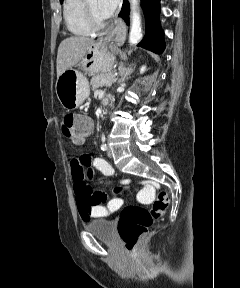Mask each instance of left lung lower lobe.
Instances as JSON below:
<instances>
[{"mask_svg":"<svg viewBox=\"0 0 240 288\" xmlns=\"http://www.w3.org/2000/svg\"><path fill=\"white\" fill-rule=\"evenodd\" d=\"M141 5L145 15L146 32L145 37L139 43L145 49L161 54L165 49L164 32L161 29L159 13L160 0H141ZM129 3L123 0L122 10L119 16L127 23L129 20Z\"/></svg>","mask_w":240,"mask_h":288,"instance_id":"0a47b994","label":"left lung lower lobe"}]
</instances>
